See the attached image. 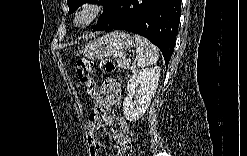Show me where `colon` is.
<instances>
[{
    "label": "colon",
    "instance_id": "colon-1",
    "mask_svg": "<svg viewBox=\"0 0 247 156\" xmlns=\"http://www.w3.org/2000/svg\"><path fill=\"white\" fill-rule=\"evenodd\" d=\"M94 66L93 61L80 58L76 62L75 69L79 81L85 86L88 95L94 99L95 106H102V101H99L97 85L92 76ZM98 67L105 73H112L115 68L114 63L110 60L100 61Z\"/></svg>",
    "mask_w": 247,
    "mask_h": 156
}]
</instances>
